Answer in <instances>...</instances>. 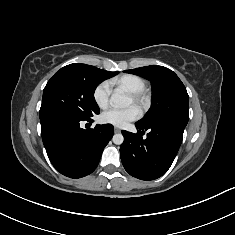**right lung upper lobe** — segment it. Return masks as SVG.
Here are the masks:
<instances>
[{
    "instance_id": "right-lung-upper-lobe-1",
    "label": "right lung upper lobe",
    "mask_w": 235,
    "mask_h": 235,
    "mask_svg": "<svg viewBox=\"0 0 235 235\" xmlns=\"http://www.w3.org/2000/svg\"><path fill=\"white\" fill-rule=\"evenodd\" d=\"M67 66H69V67H75V68H80V69H91V70L97 69V70H99V71H101V72H103V73H105V74H107V75H112V76H114V75L117 74V72H109V71L101 70V69H98V68H96V67H94V66L86 65V64H77V63H73V64H70V65H67Z\"/></svg>"
}]
</instances>
